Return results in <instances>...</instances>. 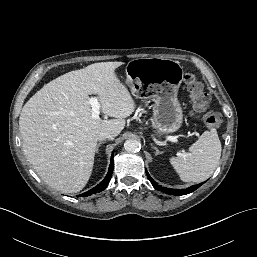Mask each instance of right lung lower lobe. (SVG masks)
Returning a JSON list of instances; mask_svg holds the SVG:
<instances>
[{"label":"right lung lower lobe","mask_w":257,"mask_h":257,"mask_svg":"<svg viewBox=\"0 0 257 257\" xmlns=\"http://www.w3.org/2000/svg\"><path fill=\"white\" fill-rule=\"evenodd\" d=\"M112 173H113V154L111 157V163H110L109 170H108L106 177L97 186H95L94 188H92L91 190H89L85 193L80 194V196H82V197L89 196V195H92V194H95V193H98V192L104 190L110 181Z\"/></svg>","instance_id":"1"}]
</instances>
